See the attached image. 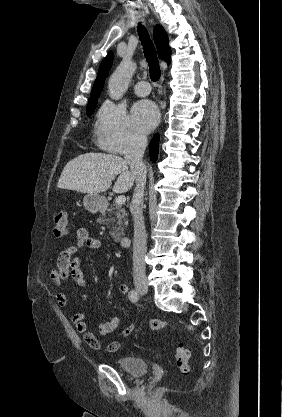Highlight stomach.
<instances>
[{"instance_id": "0dacf381", "label": "stomach", "mask_w": 282, "mask_h": 417, "mask_svg": "<svg viewBox=\"0 0 282 417\" xmlns=\"http://www.w3.org/2000/svg\"><path fill=\"white\" fill-rule=\"evenodd\" d=\"M83 204L89 213H98V211H102L104 206H106L107 198L102 196V194H90L88 192L83 198Z\"/></svg>"}]
</instances>
